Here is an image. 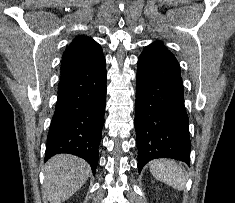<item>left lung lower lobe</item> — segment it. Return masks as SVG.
I'll use <instances>...</instances> for the list:
<instances>
[{"label": "left lung lower lobe", "instance_id": "left-lung-lower-lobe-1", "mask_svg": "<svg viewBox=\"0 0 235 203\" xmlns=\"http://www.w3.org/2000/svg\"><path fill=\"white\" fill-rule=\"evenodd\" d=\"M189 119L184 106L180 66L160 42L138 59L135 129L138 171L152 159L174 158L190 164Z\"/></svg>", "mask_w": 235, "mask_h": 203}]
</instances>
